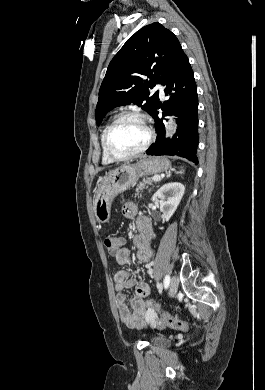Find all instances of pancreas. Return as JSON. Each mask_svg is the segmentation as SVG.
Masks as SVG:
<instances>
[{"label":"pancreas","instance_id":"pancreas-1","mask_svg":"<svg viewBox=\"0 0 265 390\" xmlns=\"http://www.w3.org/2000/svg\"><path fill=\"white\" fill-rule=\"evenodd\" d=\"M153 179L152 178H145L142 183L138 184V187L136 188V195L139 194L140 191H142L145 188V184L152 185Z\"/></svg>","mask_w":265,"mask_h":390}]
</instances>
